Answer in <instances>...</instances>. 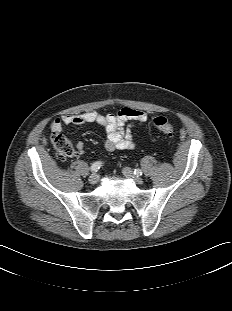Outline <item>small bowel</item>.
Here are the masks:
<instances>
[{"instance_id":"1","label":"small bowel","mask_w":232,"mask_h":311,"mask_svg":"<svg viewBox=\"0 0 232 311\" xmlns=\"http://www.w3.org/2000/svg\"><path fill=\"white\" fill-rule=\"evenodd\" d=\"M147 114L139 109L124 107L115 114L102 115L96 111H90L80 115H63L55 118L50 123L53 134L61 133L64 125L81 126L89 123H97L106 132L105 148L109 151L127 150L135 146L131 135L133 122H145ZM77 149L83 151L84 143L78 142Z\"/></svg>"}]
</instances>
